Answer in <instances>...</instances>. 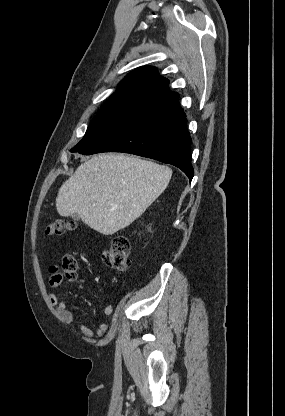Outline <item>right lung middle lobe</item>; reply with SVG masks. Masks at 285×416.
<instances>
[{
    "label": "right lung middle lobe",
    "mask_w": 285,
    "mask_h": 416,
    "mask_svg": "<svg viewBox=\"0 0 285 416\" xmlns=\"http://www.w3.org/2000/svg\"><path fill=\"white\" fill-rule=\"evenodd\" d=\"M161 109L160 105L133 95L109 98L91 121L83 139L71 152L86 150Z\"/></svg>",
    "instance_id": "obj_1"
}]
</instances>
